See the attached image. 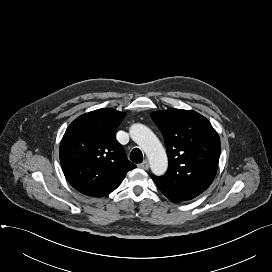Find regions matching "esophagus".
<instances>
[{
    "mask_svg": "<svg viewBox=\"0 0 272 272\" xmlns=\"http://www.w3.org/2000/svg\"><path fill=\"white\" fill-rule=\"evenodd\" d=\"M139 168L144 169V170H148L149 168V163L147 160H144L141 164L138 165Z\"/></svg>",
    "mask_w": 272,
    "mask_h": 272,
    "instance_id": "esophagus-1",
    "label": "esophagus"
}]
</instances>
